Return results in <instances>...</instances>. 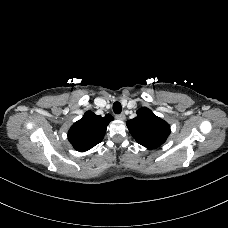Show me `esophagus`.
Wrapping results in <instances>:
<instances>
[{
	"label": "esophagus",
	"mask_w": 228,
	"mask_h": 228,
	"mask_svg": "<svg viewBox=\"0 0 228 228\" xmlns=\"http://www.w3.org/2000/svg\"><path fill=\"white\" fill-rule=\"evenodd\" d=\"M116 119L125 120V115L124 114H118V115H116Z\"/></svg>",
	"instance_id": "34e87169"
}]
</instances>
